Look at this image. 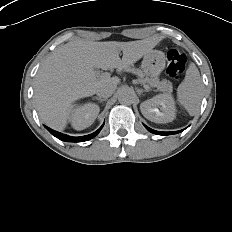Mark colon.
Instances as JSON below:
<instances>
[{"label":"colon","instance_id":"obj_1","mask_svg":"<svg viewBox=\"0 0 232 232\" xmlns=\"http://www.w3.org/2000/svg\"><path fill=\"white\" fill-rule=\"evenodd\" d=\"M167 73L172 78H179L183 73L186 56L178 50L172 49L167 53Z\"/></svg>","mask_w":232,"mask_h":232}]
</instances>
